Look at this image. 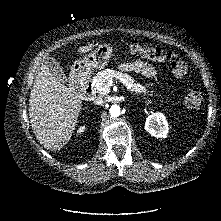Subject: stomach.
Returning <instances> with one entry per match:
<instances>
[{
	"instance_id": "1",
	"label": "stomach",
	"mask_w": 221,
	"mask_h": 221,
	"mask_svg": "<svg viewBox=\"0 0 221 221\" xmlns=\"http://www.w3.org/2000/svg\"><path fill=\"white\" fill-rule=\"evenodd\" d=\"M112 56V46L108 44L99 45L93 52L76 60L71 67V72L80 76L87 75L92 69L104 68Z\"/></svg>"
}]
</instances>
